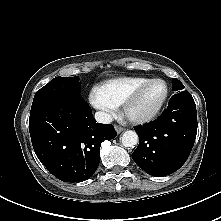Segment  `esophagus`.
I'll use <instances>...</instances> for the list:
<instances>
[{"label":"esophagus","instance_id":"obj_1","mask_svg":"<svg viewBox=\"0 0 221 221\" xmlns=\"http://www.w3.org/2000/svg\"><path fill=\"white\" fill-rule=\"evenodd\" d=\"M115 131L119 134V133H121L122 131H124V128L123 127H121V126H118V125H115Z\"/></svg>","mask_w":221,"mask_h":221}]
</instances>
